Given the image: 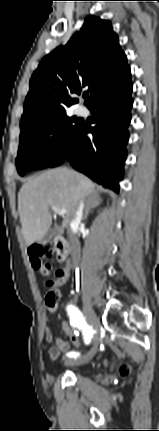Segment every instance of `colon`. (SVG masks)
<instances>
[{
  "mask_svg": "<svg viewBox=\"0 0 159 431\" xmlns=\"http://www.w3.org/2000/svg\"><path fill=\"white\" fill-rule=\"evenodd\" d=\"M31 262L35 269H37L42 274L49 273L51 267L50 265L45 262V259L51 258L53 255V252L51 248L49 247H34L31 252ZM60 298V294L58 290L55 287H50V290L48 291L46 295V304H47V312L49 314H54L57 311V308L55 307L58 300ZM61 328L63 329V334H65L66 338H69V341L71 342V346L74 347L75 350L81 349V342H80V335L79 333H76V331L73 329L72 325L68 321H63L61 323ZM120 372L123 375L128 374L129 369L127 366L123 365L120 368Z\"/></svg>",
  "mask_w": 159,
  "mask_h": 431,
  "instance_id": "5ec220e1",
  "label": "colon"
}]
</instances>
